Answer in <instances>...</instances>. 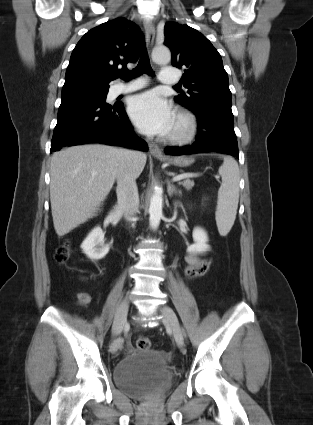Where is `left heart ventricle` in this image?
I'll return each instance as SVG.
<instances>
[{"instance_id": "obj_1", "label": "left heart ventricle", "mask_w": 313, "mask_h": 425, "mask_svg": "<svg viewBox=\"0 0 313 425\" xmlns=\"http://www.w3.org/2000/svg\"><path fill=\"white\" fill-rule=\"evenodd\" d=\"M175 127H176V123L174 122V125H173V127H172V130H173ZM172 130H171V131H172Z\"/></svg>"}]
</instances>
